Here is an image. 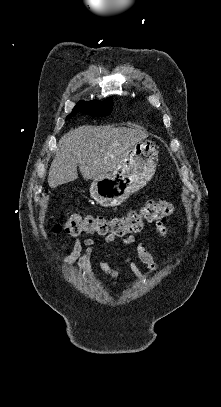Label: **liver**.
I'll list each match as a JSON object with an SVG mask.
<instances>
[{"label": "liver", "instance_id": "liver-1", "mask_svg": "<svg viewBox=\"0 0 221 407\" xmlns=\"http://www.w3.org/2000/svg\"><path fill=\"white\" fill-rule=\"evenodd\" d=\"M147 137L141 129L110 125L72 129L57 144L48 184L56 188L76 180L77 166L86 180L111 172L137 142Z\"/></svg>", "mask_w": 221, "mask_h": 407}]
</instances>
